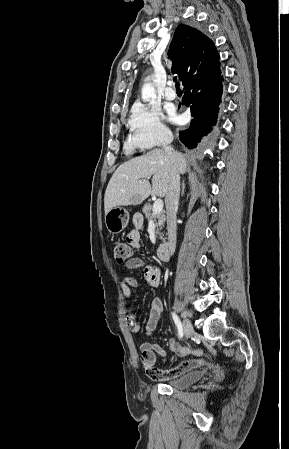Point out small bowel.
<instances>
[{"mask_svg":"<svg viewBox=\"0 0 289 449\" xmlns=\"http://www.w3.org/2000/svg\"><path fill=\"white\" fill-rule=\"evenodd\" d=\"M134 228L127 234L126 241L133 248L140 247V232L139 229L142 225V219L135 217L133 219ZM125 267L129 271H135L137 269H143L144 279L146 284L150 288H157L161 282V270L152 265L146 264L143 259L135 257L125 263ZM141 283L135 275L127 276L121 283V289L125 298L129 299L132 296V289H140ZM163 313V303L160 298H154L150 303L149 316L145 325L146 335H151L157 328L159 320ZM127 321L131 332L136 333L140 330L139 322L137 321L135 314L132 310L128 311ZM169 347L172 351L186 356L193 354L196 356L194 359L182 361L177 366L162 370L155 367L157 356L163 359L167 358L164 348L156 343H150L148 341H142L139 344V350L141 353V363L145 368L147 375L153 380H169L178 377L188 371L195 368H200L207 364V360L202 358L203 352L199 349H191L188 347H181L173 339H169Z\"/></svg>","mask_w":289,"mask_h":449,"instance_id":"small-bowel-1","label":"small bowel"}]
</instances>
